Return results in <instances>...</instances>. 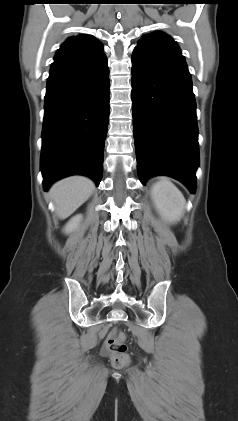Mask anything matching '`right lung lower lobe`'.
Here are the masks:
<instances>
[{"label": "right lung lower lobe", "mask_w": 238, "mask_h": 421, "mask_svg": "<svg viewBox=\"0 0 238 421\" xmlns=\"http://www.w3.org/2000/svg\"><path fill=\"white\" fill-rule=\"evenodd\" d=\"M105 55L55 60L45 96L41 171L44 190L75 174L98 186L109 118Z\"/></svg>", "instance_id": "1"}]
</instances>
